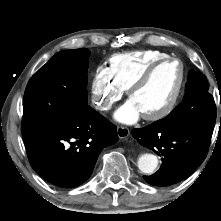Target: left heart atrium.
<instances>
[{
    "label": "left heart atrium",
    "mask_w": 221,
    "mask_h": 221,
    "mask_svg": "<svg viewBox=\"0 0 221 221\" xmlns=\"http://www.w3.org/2000/svg\"><path fill=\"white\" fill-rule=\"evenodd\" d=\"M140 116L141 111L131 98L125 102L115 113V118L118 121L126 124H132L136 122Z\"/></svg>",
    "instance_id": "39dd6f15"
}]
</instances>
